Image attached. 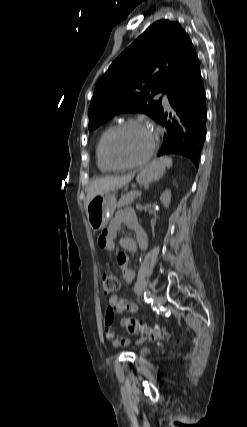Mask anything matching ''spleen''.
<instances>
[{
  "label": "spleen",
  "mask_w": 247,
  "mask_h": 427,
  "mask_svg": "<svg viewBox=\"0 0 247 427\" xmlns=\"http://www.w3.org/2000/svg\"><path fill=\"white\" fill-rule=\"evenodd\" d=\"M159 163L163 166L171 167L172 166V159L169 157H161L159 160Z\"/></svg>",
  "instance_id": "1"
}]
</instances>
